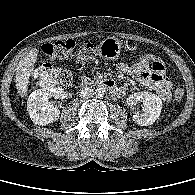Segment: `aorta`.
Listing matches in <instances>:
<instances>
[{
    "mask_svg": "<svg viewBox=\"0 0 195 195\" xmlns=\"http://www.w3.org/2000/svg\"><path fill=\"white\" fill-rule=\"evenodd\" d=\"M95 94L98 98H102L106 94V89L104 87H97L95 90Z\"/></svg>",
    "mask_w": 195,
    "mask_h": 195,
    "instance_id": "1",
    "label": "aorta"
}]
</instances>
